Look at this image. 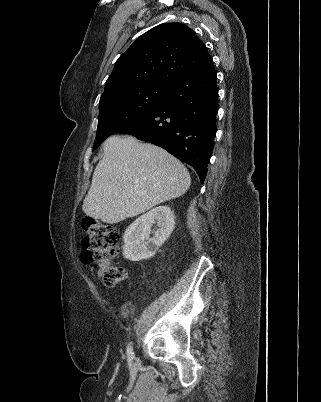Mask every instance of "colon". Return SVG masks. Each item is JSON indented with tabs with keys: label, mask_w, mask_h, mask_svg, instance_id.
Instances as JSON below:
<instances>
[{
	"label": "colon",
	"mask_w": 321,
	"mask_h": 402,
	"mask_svg": "<svg viewBox=\"0 0 321 402\" xmlns=\"http://www.w3.org/2000/svg\"><path fill=\"white\" fill-rule=\"evenodd\" d=\"M87 236L82 240L81 257L84 263H99L101 279L105 286L115 287L121 283L126 271L124 268L114 266L107 259L117 252L120 242L118 230L110 224L93 218L84 219Z\"/></svg>",
	"instance_id": "1"
}]
</instances>
